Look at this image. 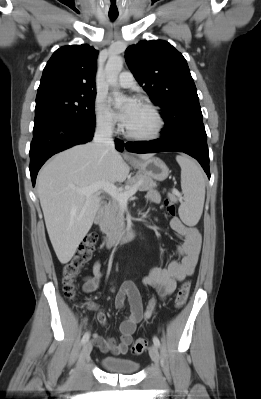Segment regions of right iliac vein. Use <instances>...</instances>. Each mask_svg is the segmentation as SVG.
<instances>
[{"label":"right iliac vein","mask_w":261,"mask_h":399,"mask_svg":"<svg viewBox=\"0 0 261 399\" xmlns=\"http://www.w3.org/2000/svg\"><path fill=\"white\" fill-rule=\"evenodd\" d=\"M92 342L88 341L84 344L80 356H79V360H78V365L81 366L84 364L85 360L89 357L91 351H92Z\"/></svg>","instance_id":"obj_1"}]
</instances>
